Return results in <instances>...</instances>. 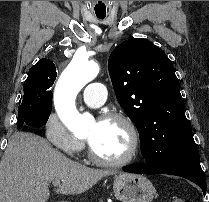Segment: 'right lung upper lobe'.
I'll use <instances>...</instances> for the list:
<instances>
[{"label":"right lung upper lobe","mask_w":209,"mask_h":202,"mask_svg":"<svg viewBox=\"0 0 209 202\" xmlns=\"http://www.w3.org/2000/svg\"><path fill=\"white\" fill-rule=\"evenodd\" d=\"M36 75L57 76L54 63L46 58L40 59L36 65L29 70L27 79Z\"/></svg>","instance_id":"obj_1"}]
</instances>
